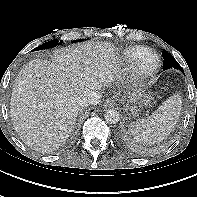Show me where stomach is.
<instances>
[{
    "instance_id": "0dacf381",
    "label": "stomach",
    "mask_w": 197,
    "mask_h": 197,
    "mask_svg": "<svg viewBox=\"0 0 197 197\" xmlns=\"http://www.w3.org/2000/svg\"><path fill=\"white\" fill-rule=\"evenodd\" d=\"M152 97L147 94H138L134 95L130 99V105H127V110L129 115L137 117L140 112L145 108L151 105Z\"/></svg>"
}]
</instances>
